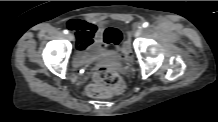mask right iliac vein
Returning <instances> with one entry per match:
<instances>
[{"instance_id":"right-iliac-vein-1","label":"right iliac vein","mask_w":218,"mask_h":122,"mask_svg":"<svg viewBox=\"0 0 218 122\" xmlns=\"http://www.w3.org/2000/svg\"><path fill=\"white\" fill-rule=\"evenodd\" d=\"M67 38H68L70 41H72V40L74 39V36H73V34L69 33V34L67 35Z\"/></svg>"}]
</instances>
